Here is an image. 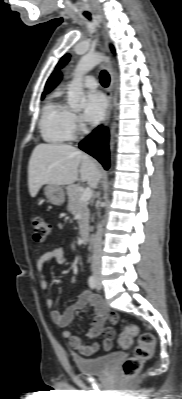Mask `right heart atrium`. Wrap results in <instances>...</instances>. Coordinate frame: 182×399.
<instances>
[{
  "label": "right heart atrium",
  "instance_id": "1",
  "mask_svg": "<svg viewBox=\"0 0 182 399\" xmlns=\"http://www.w3.org/2000/svg\"><path fill=\"white\" fill-rule=\"evenodd\" d=\"M70 123L73 131H79L81 129V121L75 113H71Z\"/></svg>",
  "mask_w": 182,
  "mask_h": 399
}]
</instances>
